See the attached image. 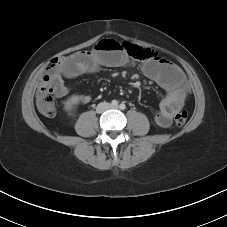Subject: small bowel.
I'll list each match as a JSON object with an SVG mask.
<instances>
[{
	"label": "small bowel",
	"mask_w": 227,
	"mask_h": 227,
	"mask_svg": "<svg viewBox=\"0 0 227 227\" xmlns=\"http://www.w3.org/2000/svg\"><path fill=\"white\" fill-rule=\"evenodd\" d=\"M130 57L121 43L113 39H104L91 50L79 51L62 58L51 73L50 82L58 97H68L69 88L65 85L64 78L95 73L101 67H120L125 65ZM142 71L166 92L154 116V122L158 127L167 128L173 116L184 106L187 95L185 76L178 66L158 56L144 62ZM75 99L86 104L92 97L82 94L75 96Z\"/></svg>",
	"instance_id": "obj_1"
}]
</instances>
